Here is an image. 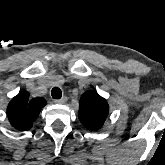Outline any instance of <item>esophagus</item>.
Listing matches in <instances>:
<instances>
[{"instance_id": "obj_1", "label": "esophagus", "mask_w": 165, "mask_h": 165, "mask_svg": "<svg viewBox=\"0 0 165 165\" xmlns=\"http://www.w3.org/2000/svg\"><path fill=\"white\" fill-rule=\"evenodd\" d=\"M64 102H65L64 98L54 101V103H56V104H63Z\"/></svg>"}]
</instances>
